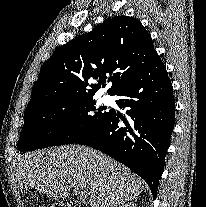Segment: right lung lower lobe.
I'll return each instance as SVG.
<instances>
[{
    "instance_id": "98d812e1",
    "label": "right lung lower lobe",
    "mask_w": 206,
    "mask_h": 207,
    "mask_svg": "<svg viewBox=\"0 0 206 207\" xmlns=\"http://www.w3.org/2000/svg\"><path fill=\"white\" fill-rule=\"evenodd\" d=\"M113 95L123 97L117 104L128 107V118L112 109L94 131L76 143L100 150L129 167L146 181L156 198L175 116L173 87L160 57ZM120 120L124 127L118 126Z\"/></svg>"
}]
</instances>
